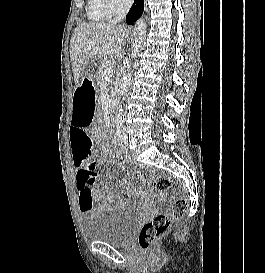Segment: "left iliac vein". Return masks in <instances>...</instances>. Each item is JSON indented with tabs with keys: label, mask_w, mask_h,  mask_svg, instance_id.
Masks as SVG:
<instances>
[{
	"label": "left iliac vein",
	"mask_w": 265,
	"mask_h": 273,
	"mask_svg": "<svg viewBox=\"0 0 265 273\" xmlns=\"http://www.w3.org/2000/svg\"><path fill=\"white\" fill-rule=\"evenodd\" d=\"M120 143L122 146L128 145V136L126 135L125 129L122 130Z\"/></svg>",
	"instance_id": "left-iliac-vein-1"
}]
</instances>
